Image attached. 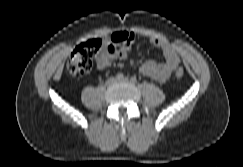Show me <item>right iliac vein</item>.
Wrapping results in <instances>:
<instances>
[{"label":"right iliac vein","mask_w":243,"mask_h":167,"mask_svg":"<svg viewBox=\"0 0 243 167\" xmlns=\"http://www.w3.org/2000/svg\"><path fill=\"white\" fill-rule=\"evenodd\" d=\"M116 82H117L116 78H110V79L107 80V85H112V84H114Z\"/></svg>","instance_id":"63e3f726"}]
</instances>
